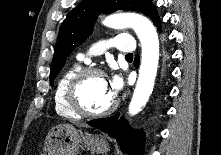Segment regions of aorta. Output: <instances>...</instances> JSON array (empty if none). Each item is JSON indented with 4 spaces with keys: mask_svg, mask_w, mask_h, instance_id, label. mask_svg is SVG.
I'll use <instances>...</instances> for the list:
<instances>
[{
    "mask_svg": "<svg viewBox=\"0 0 221 155\" xmlns=\"http://www.w3.org/2000/svg\"><path fill=\"white\" fill-rule=\"evenodd\" d=\"M103 24L114 29L130 27L141 42L139 77L128 108L129 114L135 115L146 105L154 87L159 60V40L156 29L149 19L137 13L113 15L106 18Z\"/></svg>",
    "mask_w": 221,
    "mask_h": 155,
    "instance_id": "1",
    "label": "aorta"
}]
</instances>
